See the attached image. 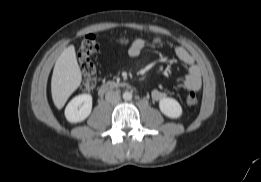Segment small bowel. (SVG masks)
<instances>
[{
  "label": "small bowel",
  "mask_w": 261,
  "mask_h": 182,
  "mask_svg": "<svg viewBox=\"0 0 261 182\" xmlns=\"http://www.w3.org/2000/svg\"><path fill=\"white\" fill-rule=\"evenodd\" d=\"M149 42L143 38H138L132 42L128 53L131 57H138ZM152 45H163L165 39L162 37L154 38L151 41ZM177 59L187 66V75L183 80L181 89L188 92H198L202 87V78L200 67L196 64L193 56L182 46H177L174 49ZM152 98L155 101H160L168 96V93L162 90H153Z\"/></svg>",
  "instance_id": "small-bowel-1"
}]
</instances>
